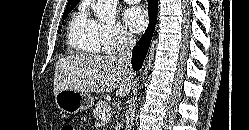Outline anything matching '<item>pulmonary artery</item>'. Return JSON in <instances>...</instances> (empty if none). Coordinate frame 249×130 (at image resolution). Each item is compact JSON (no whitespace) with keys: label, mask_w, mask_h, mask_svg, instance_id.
<instances>
[{"label":"pulmonary artery","mask_w":249,"mask_h":130,"mask_svg":"<svg viewBox=\"0 0 249 130\" xmlns=\"http://www.w3.org/2000/svg\"><path fill=\"white\" fill-rule=\"evenodd\" d=\"M126 2H128V3H137V2H139L140 0H125Z\"/></svg>","instance_id":"e3ab8cb5"}]
</instances>
